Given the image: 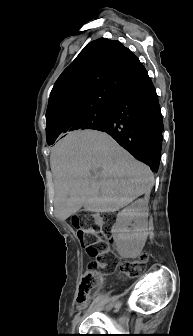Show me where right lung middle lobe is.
Here are the masks:
<instances>
[{"label":"right lung middle lobe","mask_w":193,"mask_h":336,"mask_svg":"<svg viewBox=\"0 0 193 336\" xmlns=\"http://www.w3.org/2000/svg\"><path fill=\"white\" fill-rule=\"evenodd\" d=\"M109 108L94 110L84 115L79 116L75 121L74 130L78 129H101L107 120ZM48 144H53L52 141H47Z\"/></svg>","instance_id":"right-lung-middle-lobe-1"}]
</instances>
